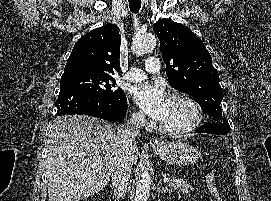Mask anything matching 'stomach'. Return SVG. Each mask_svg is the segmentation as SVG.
<instances>
[{
    "label": "stomach",
    "instance_id": "1",
    "mask_svg": "<svg viewBox=\"0 0 271 201\" xmlns=\"http://www.w3.org/2000/svg\"><path fill=\"white\" fill-rule=\"evenodd\" d=\"M153 151L169 165L186 166L195 163L200 157L193 146L181 141L163 142L160 146H152Z\"/></svg>",
    "mask_w": 271,
    "mask_h": 201
}]
</instances>
